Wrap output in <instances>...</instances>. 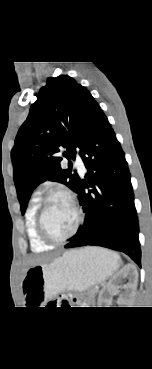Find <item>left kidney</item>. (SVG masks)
<instances>
[{
  "label": "left kidney",
  "mask_w": 152,
  "mask_h": 369,
  "mask_svg": "<svg viewBox=\"0 0 152 369\" xmlns=\"http://www.w3.org/2000/svg\"><path fill=\"white\" fill-rule=\"evenodd\" d=\"M124 277H129V283L125 286L126 290L133 291L137 287L138 282V272L134 266L127 265L120 272H118L106 285V287L101 290L98 298V307H107L105 305L110 304V299L108 294L118 293V281Z\"/></svg>",
  "instance_id": "left-kidney-1"
}]
</instances>
